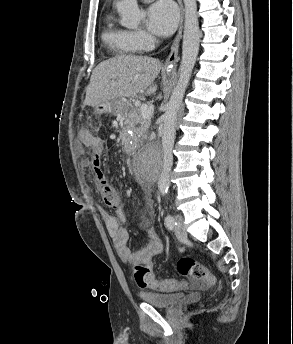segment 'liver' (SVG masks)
<instances>
[{
  "label": "liver",
  "instance_id": "6515ba94",
  "mask_svg": "<svg viewBox=\"0 0 293 344\" xmlns=\"http://www.w3.org/2000/svg\"><path fill=\"white\" fill-rule=\"evenodd\" d=\"M161 67L158 59L148 56L119 55L103 61L92 72L84 104L95 107L143 91L154 93L157 85L153 82Z\"/></svg>",
  "mask_w": 293,
  "mask_h": 344
}]
</instances>
